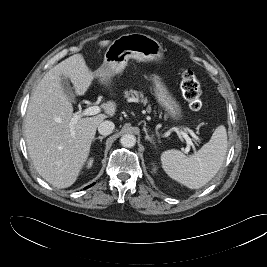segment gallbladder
<instances>
[{
    "instance_id": "1",
    "label": "gallbladder",
    "mask_w": 267,
    "mask_h": 267,
    "mask_svg": "<svg viewBox=\"0 0 267 267\" xmlns=\"http://www.w3.org/2000/svg\"><path fill=\"white\" fill-rule=\"evenodd\" d=\"M61 84H62L64 93L67 96H69V98L71 99L72 102H74L75 101V94H74L73 87L70 83V80L68 78L62 76Z\"/></svg>"
}]
</instances>
